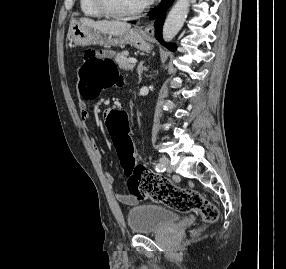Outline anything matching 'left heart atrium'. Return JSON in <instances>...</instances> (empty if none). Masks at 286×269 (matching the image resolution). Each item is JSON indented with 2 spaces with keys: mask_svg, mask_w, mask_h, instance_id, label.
I'll return each mask as SVG.
<instances>
[{
  "mask_svg": "<svg viewBox=\"0 0 286 269\" xmlns=\"http://www.w3.org/2000/svg\"><path fill=\"white\" fill-rule=\"evenodd\" d=\"M154 0H145L146 3H151L153 2Z\"/></svg>",
  "mask_w": 286,
  "mask_h": 269,
  "instance_id": "obj_1",
  "label": "left heart atrium"
}]
</instances>
